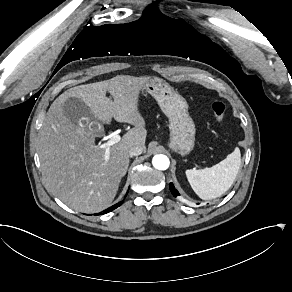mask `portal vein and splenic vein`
Returning a JSON list of instances; mask_svg holds the SVG:
<instances>
[{
  "label": "portal vein and splenic vein",
  "instance_id": "1",
  "mask_svg": "<svg viewBox=\"0 0 292 292\" xmlns=\"http://www.w3.org/2000/svg\"><path fill=\"white\" fill-rule=\"evenodd\" d=\"M120 136L118 131H114L110 134L109 140L101 145V148L105 149V165L107 166L110 159V148L113 144L119 142Z\"/></svg>",
  "mask_w": 292,
  "mask_h": 292
}]
</instances>
